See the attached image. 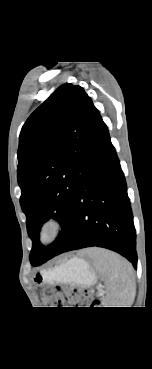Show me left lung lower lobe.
<instances>
[{
    "label": "left lung lower lobe",
    "instance_id": "1",
    "mask_svg": "<svg viewBox=\"0 0 152 369\" xmlns=\"http://www.w3.org/2000/svg\"><path fill=\"white\" fill-rule=\"evenodd\" d=\"M83 164L84 173L75 194V218L55 256L98 246L118 252L136 269V234L126 181L101 117L94 127Z\"/></svg>",
    "mask_w": 152,
    "mask_h": 369
}]
</instances>
